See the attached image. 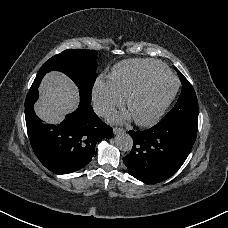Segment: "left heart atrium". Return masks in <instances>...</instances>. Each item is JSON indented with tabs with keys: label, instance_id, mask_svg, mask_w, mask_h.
Masks as SVG:
<instances>
[{
	"label": "left heart atrium",
	"instance_id": "1",
	"mask_svg": "<svg viewBox=\"0 0 228 228\" xmlns=\"http://www.w3.org/2000/svg\"><path fill=\"white\" fill-rule=\"evenodd\" d=\"M116 120L117 121H122L124 119H128L129 118V115L128 114H125V115H116Z\"/></svg>",
	"mask_w": 228,
	"mask_h": 228
}]
</instances>
